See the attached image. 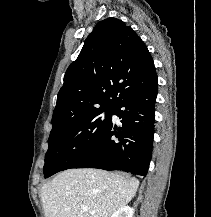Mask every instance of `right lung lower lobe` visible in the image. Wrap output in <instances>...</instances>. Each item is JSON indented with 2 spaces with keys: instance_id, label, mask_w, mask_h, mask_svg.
<instances>
[{
  "instance_id": "obj_1",
  "label": "right lung lower lobe",
  "mask_w": 211,
  "mask_h": 217,
  "mask_svg": "<svg viewBox=\"0 0 211 217\" xmlns=\"http://www.w3.org/2000/svg\"><path fill=\"white\" fill-rule=\"evenodd\" d=\"M157 87L156 74L133 87L113 108L122 126L112 122L99 143L70 168L122 170L146 176L153 147Z\"/></svg>"
}]
</instances>
